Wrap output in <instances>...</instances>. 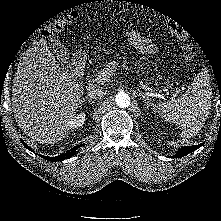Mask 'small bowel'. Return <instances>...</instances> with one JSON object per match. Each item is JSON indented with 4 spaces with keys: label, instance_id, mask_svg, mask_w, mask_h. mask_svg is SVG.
I'll list each match as a JSON object with an SVG mask.
<instances>
[{
    "label": "small bowel",
    "instance_id": "small-bowel-1",
    "mask_svg": "<svg viewBox=\"0 0 221 221\" xmlns=\"http://www.w3.org/2000/svg\"><path fill=\"white\" fill-rule=\"evenodd\" d=\"M128 42L142 54H154L157 51L152 41L135 30L127 33Z\"/></svg>",
    "mask_w": 221,
    "mask_h": 221
}]
</instances>
